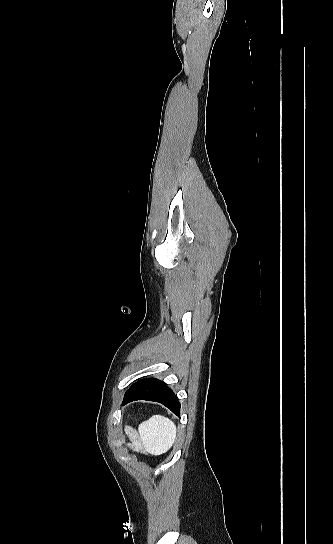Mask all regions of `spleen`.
<instances>
[{
    "mask_svg": "<svg viewBox=\"0 0 333 544\" xmlns=\"http://www.w3.org/2000/svg\"><path fill=\"white\" fill-rule=\"evenodd\" d=\"M140 437L154 454L167 452L176 440V426L169 418L153 415L139 425Z\"/></svg>",
    "mask_w": 333,
    "mask_h": 544,
    "instance_id": "3e777b00",
    "label": "spleen"
}]
</instances>
